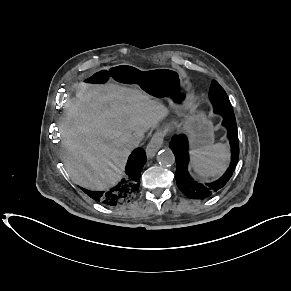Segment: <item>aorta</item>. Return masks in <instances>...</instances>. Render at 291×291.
Masks as SVG:
<instances>
[{"label": "aorta", "instance_id": "1", "mask_svg": "<svg viewBox=\"0 0 291 291\" xmlns=\"http://www.w3.org/2000/svg\"><path fill=\"white\" fill-rule=\"evenodd\" d=\"M157 161L163 166H171L175 162V156L171 149L165 148L158 152Z\"/></svg>", "mask_w": 291, "mask_h": 291}]
</instances>
